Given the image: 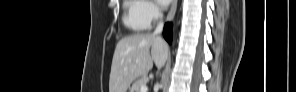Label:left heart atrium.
I'll use <instances>...</instances> for the list:
<instances>
[{
	"label": "left heart atrium",
	"mask_w": 296,
	"mask_h": 92,
	"mask_svg": "<svg viewBox=\"0 0 296 92\" xmlns=\"http://www.w3.org/2000/svg\"><path fill=\"white\" fill-rule=\"evenodd\" d=\"M157 3L159 5H161L162 7H165L169 3V1L168 0H158Z\"/></svg>",
	"instance_id": "1"
}]
</instances>
